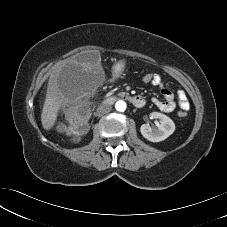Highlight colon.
Segmentation results:
<instances>
[{
    "label": "colon",
    "instance_id": "5ec220e1",
    "mask_svg": "<svg viewBox=\"0 0 227 227\" xmlns=\"http://www.w3.org/2000/svg\"><path fill=\"white\" fill-rule=\"evenodd\" d=\"M156 78V73L147 72L141 77L142 81L146 84H153ZM88 116V110L85 107H79L74 110L70 115V125L65 126L63 124L59 125V130L67 132L70 134L78 133L82 131L86 125V120ZM179 116L185 117L186 111H179Z\"/></svg>",
    "mask_w": 227,
    "mask_h": 227
}]
</instances>
